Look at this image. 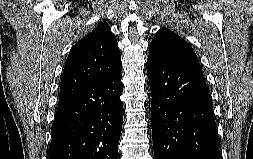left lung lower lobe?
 Here are the masks:
<instances>
[{"instance_id":"0a47b994","label":"left lung lower lobe","mask_w":253,"mask_h":159,"mask_svg":"<svg viewBox=\"0 0 253 159\" xmlns=\"http://www.w3.org/2000/svg\"><path fill=\"white\" fill-rule=\"evenodd\" d=\"M147 73L155 159H222L200 66L148 58Z\"/></svg>"}]
</instances>
